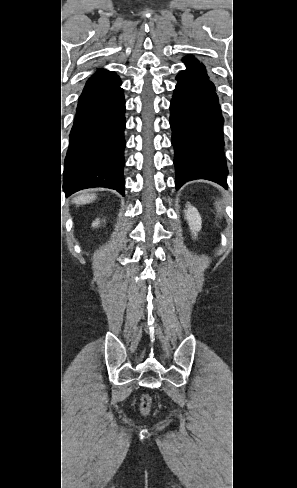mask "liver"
Returning <instances> with one entry per match:
<instances>
[{
    "label": "liver",
    "mask_w": 297,
    "mask_h": 488,
    "mask_svg": "<svg viewBox=\"0 0 297 488\" xmlns=\"http://www.w3.org/2000/svg\"><path fill=\"white\" fill-rule=\"evenodd\" d=\"M95 194H80L72 200V203L76 204L77 206L87 204L95 200Z\"/></svg>",
    "instance_id": "6515ba94"
}]
</instances>
